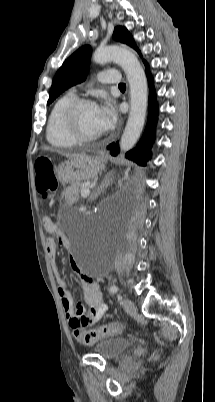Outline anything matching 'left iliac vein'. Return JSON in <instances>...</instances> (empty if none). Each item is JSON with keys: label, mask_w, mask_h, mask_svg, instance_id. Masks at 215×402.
Masks as SVG:
<instances>
[{"label": "left iliac vein", "mask_w": 215, "mask_h": 402, "mask_svg": "<svg viewBox=\"0 0 215 402\" xmlns=\"http://www.w3.org/2000/svg\"><path fill=\"white\" fill-rule=\"evenodd\" d=\"M123 306H124V309L128 313H135L136 312V306H135L134 302L132 300H130V299H124Z\"/></svg>", "instance_id": "left-iliac-vein-1"}]
</instances>
